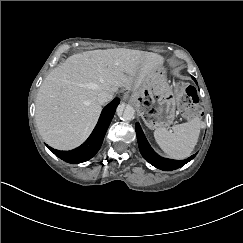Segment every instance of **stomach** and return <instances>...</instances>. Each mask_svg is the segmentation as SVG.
I'll return each instance as SVG.
<instances>
[{"label":"stomach","instance_id":"obj_1","mask_svg":"<svg viewBox=\"0 0 243 243\" xmlns=\"http://www.w3.org/2000/svg\"><path fill=\"white\" fill-rule=\"evenodd\" d=\"M130 101L149 129L165 128L172 124L176 99L162 65L157 66L132 92Z\"/></svg>","mask_w":243,"mask_h":243}]
</instances>
